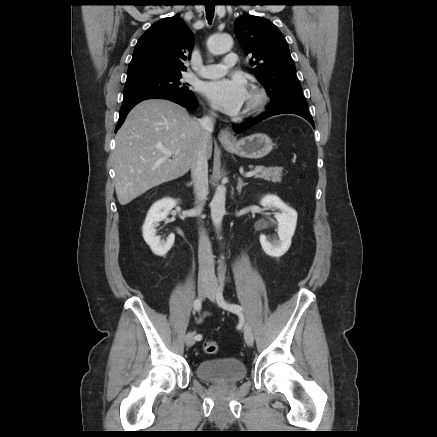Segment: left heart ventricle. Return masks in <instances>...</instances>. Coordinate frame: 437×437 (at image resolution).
I'll list each match as a JSON object with an SVG mask.
<instances>
[{"mask_svg": "<svg viewBox=\"0 0 437 437\" xmlns=\"http://www.w3.org/2000/svg\"><path fill=\"white\" fill-rule=\"evenodd\" d=\"M252 101H253V97H252V95L249 93L248 98H247V100H246V102H245L244 107H245V108L248 107V106L252 103Z\"/></svg>", "mask_w": 437, "mask_h": 437, "instance_id": "obj_1", "label": "left heart ventricle"}]
</instances>
